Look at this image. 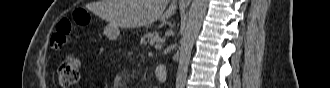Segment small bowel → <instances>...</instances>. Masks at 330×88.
Here are the masks:
<instances>
[{"instance_id":"1","label":"small bowel","mask_w":330,"mask_h":88,"mask_svg":"<svg viewBox=\"0 0 330 88\" xmlns=\"http://www.w3.org/2000/svg\"><path fill=\"white\" fill-rule=\"evenodd\" d=\"M157 73H158V69L156 67L154 69V74H155L156 78H157ZM124 81H125V78L122 74L117 75L116 80H115L116 87L117 88H124L125 87Z\"/></svg>"}]
</instances>
